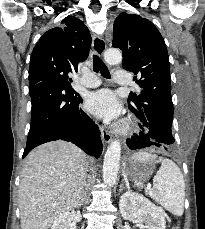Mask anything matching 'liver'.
<instances>
[{"label":"liver","mask_w":205,"mask_h":229,"mask_svg":"<svg viewBox=\"0 0 205 229\" xmlns=\"http://www.w3.org/2000/svg\"><path fill=\"white\" fill-rule=\"evenodd\" d=\"M89 167L87 155L70 142L53 141L25 159L19 186L21 229H49L78 206Z\"/></svg>","instance_id":"1"}]
</instances>
